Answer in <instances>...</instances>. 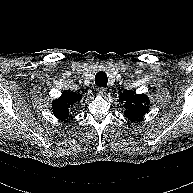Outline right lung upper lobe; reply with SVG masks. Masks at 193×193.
Segmentation results:
<instances>
[{
  "label": "right lung upper lobe",
  "mask_w": 193,
  "mask_h": 193,
  "mask_svg": "<svg viewBox=\"0 0 193 193\" xmlns=\"http://www.w3.org/2000/svg\"><path fill=\"white\" fill-rule=\"evenodd\" d=\"M81 100V94L74 92H65L62 96L52 103L53 113L59 119H67L69 117V109L76 102Z\"/></svg>",
  "instance_id": "right-lung-upper-lobe-1"
}]
</instances>
